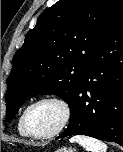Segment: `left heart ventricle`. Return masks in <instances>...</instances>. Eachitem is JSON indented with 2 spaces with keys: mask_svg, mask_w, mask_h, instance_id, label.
I'll return each instance as SVG.
<instances>
[{
  "mask_svg": "<svg viewBox=\"0 0 123 152\" xmlns=\"http://www.w3.org/2000/svg\"><path fill=\"white\" fill-rule=\"evenodd\" d=\"M63 112L53 102H43L34 106L28 113L27 124L36 134H46L55 130L61 123Z\"/></svg>",
  "mask_w": 123,
  "mask_h": 152,
  "instance_id": "obj_1",
  "label": "left heart ventricle"
}]
</instances>
